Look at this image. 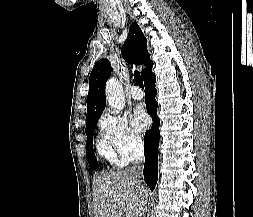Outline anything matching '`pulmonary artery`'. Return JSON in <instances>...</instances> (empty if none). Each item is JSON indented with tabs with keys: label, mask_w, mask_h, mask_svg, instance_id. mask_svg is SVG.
<instances>
[{
	"label": "pulmonary artery",
	"mask_w": 253,
	"mask_h": 217,
	"mask_svg": "<svg viewBox=\"0 0 253 217\" xmlns=\"http://www.w3.org/2000/svg\"><path fill=\"white\" fill-rule=\"evenodd\" d=\"M129 92H130L131 97L136 100H140L144 96L143 91L137 85L131 86Z\"/></svg>",
	"instance_id": "obj_1"
}]
</instances>
